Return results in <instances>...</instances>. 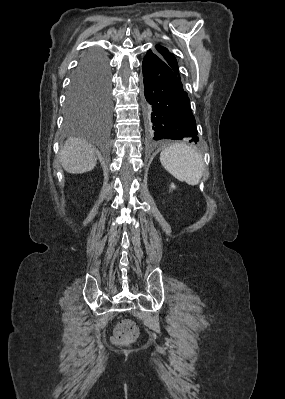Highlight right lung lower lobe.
Here are the masks:
<instances>
[{
  "mask_svg": "<svg viewBox=\"0 0 285 399\" xmlns=\"http://www.w3.org/2000/svg\"><path fill=\"white\" fill-rule=\"evenodd\" d=\"M93 50H94V49L90 50V51L82 58L81 62L85 61L88 57H90V55H91V53H92ZM81 62H80V63H81Z\"/></svg>",
  "mask_w": 285,
  "mask_h": 399,
  "instance_id": "98d812e1",
  "label": "right lung lower lobe"
}]
</instances>
